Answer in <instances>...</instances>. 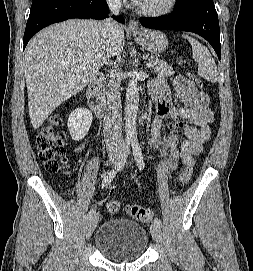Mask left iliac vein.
<instances>
[{"label": "left iliac vein", "instance_id": "1", "mask_svg": "<svg viewBox=\"0 0 253 271\" xmlns=\"http://www.w3.org/2000/svg\"><path fill=\"white\" fill-rule=\"evenodd\" d=\"M151 235L157 243H162V231L161 228L155 224L150 227Z\"/></svg>", "mask_w": 253, "mask_h": 271}]
</instances>
